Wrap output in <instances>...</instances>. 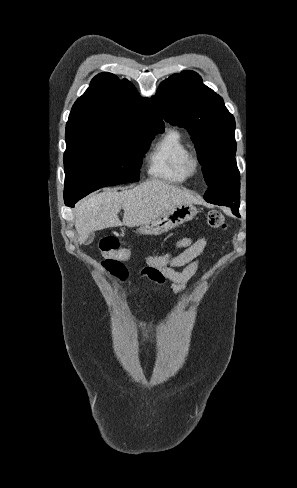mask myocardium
Returning <instances> with one entry per match:
<instances>
[{"mask_svg": "<svg viewBox=\"0 0 297 488\" xmlns=\"http://www.w3.org/2000/svg\"><path fill=\"white\" fill-rule=\"evenodd\" d=\"M185 168L189 175H194L198 172L200 168V159L196 153L190 152L186 157Z\"/></svg>", "mask_w": 297, "mask_h": 488, "instance_id": "obj_1", "label": "myocardium"}]
</instances>
